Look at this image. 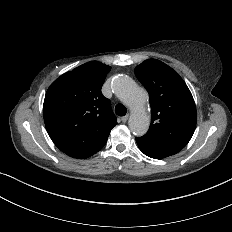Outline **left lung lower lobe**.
<instances>
[{
	"label": "left lung lower lobe",
	"instance_id": "0a47b994",
	"mask_svg": "<svg viewBox=\"0 0 232 232\" xmlns=\"http://www.w3.org/2000/svg\"><path fill=\"white\" fill-rule=\"evenodd\" d=\"M136 142L145 155L154 159H163L180 151L171 145L144 136L137 137Z\"/></svg>",
	"mask_w": 232,
	"mask_h": 232
}]
</instances>
